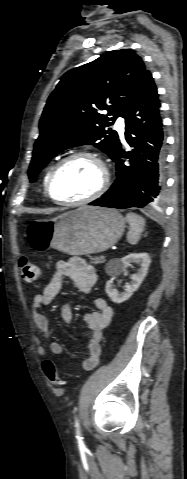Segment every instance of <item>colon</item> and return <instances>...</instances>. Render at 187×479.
I'll list each match as a JSON object with an SVG mask.
<instances>
[{
    "label": "colon",
    "instance_id": "obj_1",
    "mask_svg": "<svg viewBox=\"0 0 187 479\" xmlns=\"http://www.w3.org/2000/svg\"><path fill=\"white\" fill-rule=\"evenodd\" d=\"M19 268L21 271V276L24 282L26 283H34L38 280L40 276V268L39 266L31 261L26 257H22L19 261ZM43 371L49 381L56 387H64L65 381L61 378V375L54 365V363L50 360H46L43 363Z\"/></svg>",
    "mask_w": 187,
    "mask_h": 479
}]
</instances>
